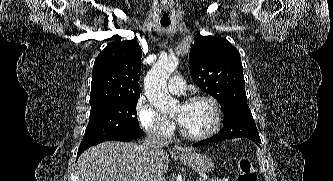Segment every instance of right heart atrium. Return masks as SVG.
Masks as SVG:
<instances>
[{"mask_svg": "<svg viewBox=\"0 0 333 181\" xmlns=\"http://www.w3.org/2000/svg\"><path fill=\"white\" fill-rule=\"evenodd\" d=\"M135 112L140 127L149 135L158 138H168L172 134L174 130L173 125L161 117L145 100H138Z\"/></svg>", "mask_w": 333, "mask_h": 181, "instance_id": "1", "label": "right heart atrium"}]
</instances>
